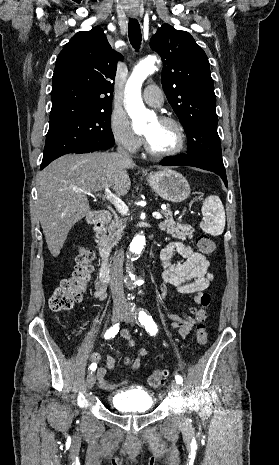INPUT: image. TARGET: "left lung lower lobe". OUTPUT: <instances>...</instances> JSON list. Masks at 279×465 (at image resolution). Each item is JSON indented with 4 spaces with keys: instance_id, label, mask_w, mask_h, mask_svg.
Instances as JSON below:
<instances>
[{
    "instance_id": "1",
    "label": "left lung lower lobe",
    "mask_w": 279,
    "mask_h": 465,
    "mask_svg": "<svg viewBox=\"0 0 279 465\" xmlns=\"http://www.w3.org/2000/svg\"><path fill=\"white\" fill-rule=\"evenodd\" d=\"M160 164L163 165V166L188 165V166L198 167V168H201V169L208 170V171L216 173L217 175H219L222 178V180L225 183L226 187H227V184H228L225 170L220 169V168L212 165L211 163H209V162H207L205 160H202L200 158H197V157H193V156H189V155H179V156H174V157H170V158H165L160 162Z\"/></svg>"
}]
</instances>
